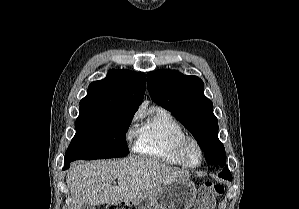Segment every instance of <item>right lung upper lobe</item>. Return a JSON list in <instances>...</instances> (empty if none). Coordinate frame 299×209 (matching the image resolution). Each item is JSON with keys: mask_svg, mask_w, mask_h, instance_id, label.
Instances as JSON below:
<instances>
[{"mask_svg": "<svg viewBox=\"0 0 299 209\" xmlns=\"http://www.w3.org/2000/svg\"><path fill=\"white\" fill-rule=\"evenodd\" d=\"M145 84L142 72L111 69L105 79L89 85L80 109L136 112L143 101Z\"/></svg>", "mask_w": 299, "mask_h": 209, "instance_id": "1", "label": "right lung upper lobe"}]
</instances>
